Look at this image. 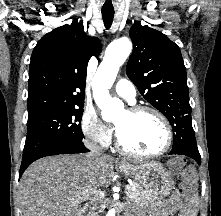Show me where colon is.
Listing matches in <instances>:
<instances>
[{
    "label": "colon",
    "mask_w": 221,
    "mask_h": 216,
    "mask_svg": "<svg viewBox=\"0 0 221 216\" xmlns=\"http://www.w3.org/2000/svg\"><path fill=\"white\" fill-rule=\"evenodd\" d=\"M184 165L185 160L183 158H175L170 161L171 168L176 172H180L183 176L180 192L185 196L186 200L190 202L195 199L196 184L191 173L183 170Z\"/></svg>",
    "instance_id": "obj_1"
}]
</instances>
